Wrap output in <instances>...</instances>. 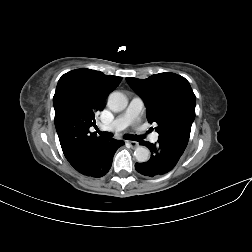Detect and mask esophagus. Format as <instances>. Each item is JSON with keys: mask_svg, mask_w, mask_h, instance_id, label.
Listing matches in <instances>:
<instances>
[{"mask_svg": "<svg viewBox=\"0 0 252 252\" xmlns=\"http://www.w3.org/2000/svg\"><path fill=\"white\" fill-rule=\"evenodd\" d=\"M127 143L132 147V148H136L138 147V142L136 141H127Z\"/></svg>", "mask_w": 252, "mask_h": 252, "instance_id": "obj_1", "label": "esophagus"}]
</instances>
